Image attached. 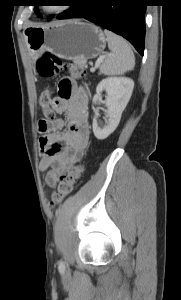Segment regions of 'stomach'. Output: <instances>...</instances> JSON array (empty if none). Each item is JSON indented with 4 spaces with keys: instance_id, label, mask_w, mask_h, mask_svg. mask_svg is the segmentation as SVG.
<instances>
[{
    "instance_id": "obj_1",
    "label": "stomach",
    "mask_w": 181,
    "mask_h": 300,
    "mask_svg": "<svg viewBox=\"0 0 181 300\" xmlns=\"http://www.w3.org/2000/svg\"><path fill=\"white\" fill-rule=\"evenodd\" d=\"M28 51L34 60L48 51L60 58L80 61L97 57L106 46L103 31L96 25L69 20L24 31Z\"/></svg>"
}]
</instances>
